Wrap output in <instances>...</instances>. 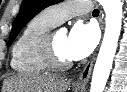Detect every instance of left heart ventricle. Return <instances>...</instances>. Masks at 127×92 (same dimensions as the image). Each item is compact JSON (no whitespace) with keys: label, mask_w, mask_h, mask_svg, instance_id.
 <instances>
[{"label":"left heart ventricle","mask_w":127,"mask_h":92,"mask_svg":"<svg viewBox=\"0 0 127 92\" xmlns=\"http://www.w3.org/2000/svg\"><path fill=\"white\" fill-rule=\"evenodd\" d=\"M68 35L64 32H56L54 35V43L58 54L64 59H70L67 54Z\"/></svg>","instance_id":"left-heart-ventricle-1"}]
</instances>
